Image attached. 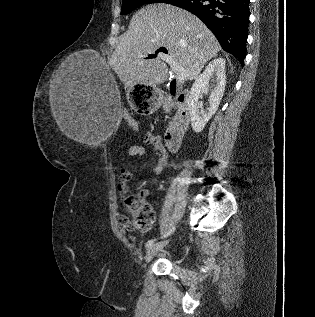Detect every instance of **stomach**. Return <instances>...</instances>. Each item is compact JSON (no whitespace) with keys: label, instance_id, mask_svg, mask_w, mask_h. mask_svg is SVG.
I'll list each match as a JSON object with an SVG mask.
<instances>
[{"label":"stomach","instance_id":"stomach-1","mask_svg":"<svg viewBox=\"0 0 315 317\" xmlns=\"http://www.w3.org/2000/svg\"><path fill=\"white\" fill-rule=\"evenodd\" d=\"M155 84H131L130 97L133 98L134 114H157L158 97Z\"/></svg>","mask_w":315,"mask_h":317}]
</instances>
